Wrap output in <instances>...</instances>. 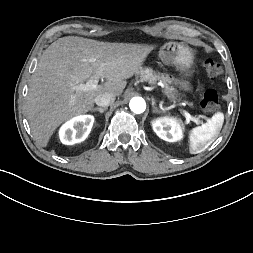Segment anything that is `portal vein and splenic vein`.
<instances>
[{"label":"portal vein and splenic vein","mask_w":253,"mask_h":253,"mask_svg":"<svg viewBox=\"0 0 253 253\" xmlns=\"http://www.w3.org/2000/svg\"><path fill=\"white\" fill-rule=\"evenodd\" d=\"M98 88H99L98 79L91 78L85 84L75 85L73 87V90L76 91L77 93H80V92H85V91L98 90ZM182 112H183V115L185 116L187 122L193 121L197 124L200 123V121H198L196 118L192 117L187 111L183 110ZM206 120L208 121V119H206Z\"/></svg>","instance_id":"obj_1"}]
</instances>
